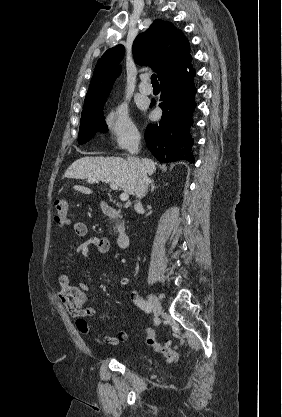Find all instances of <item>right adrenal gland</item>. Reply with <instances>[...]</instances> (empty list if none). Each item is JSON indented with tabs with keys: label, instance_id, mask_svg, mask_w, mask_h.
I'll use <instances>...</instances> for the list:
<instances>
[{
	"label": "right adrenal gland",
	"instance_id": "1",
	"mask_svg": "<svg viewBox=\"0 0 282 417\" xmlns=\"http://www.w3.org/2000/svg\"><path fill=\"white\" fill-rule=\"evenodd\" d=\"M150 186H151V188H150V192H154L155 188H158V186H155V182H154V180H151V182H150Z\"/></svg>",
	"mask_w": 282,
	"mask_h": 417
}]
</instances>
